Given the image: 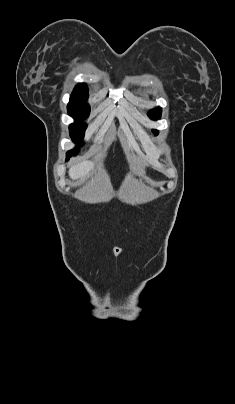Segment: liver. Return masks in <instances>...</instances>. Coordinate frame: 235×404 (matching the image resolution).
Here are the masks:
<instances>
[{
    "instance_id": "obj_1",
    "label": "liver",
    "mask_w": 235,
    "mask_h": 404,
    "mask_svg": "<svg viewBox=\"0 0 235 404\" xmlns=\"http://www.w3.org/2000/svg\"><path fill=\"white\" fill-rule=\"evenodd\" d=\"M93 169L94 164L92 161H82L70 167L69 176L74 180L84 179Z\"/></svg>"
}]
</instances>
